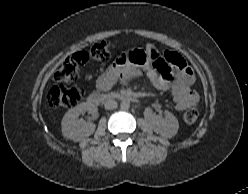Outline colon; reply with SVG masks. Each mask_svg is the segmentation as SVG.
I'll return each instance as SVG.
<instances>
[{"mask_svg": "<svg viewBox=\"0 0 248 194\" xmlns=\"http://www.w3.org/2000/svg\"><path fill=\"white\" fill-rule=\"evenodd\" d=\"M143 51L133 50L127 54H122L120 58L134 61ZM114 56V47L109 41L95 43L89 50H82L66 58L56 72V84L50 89L48 95V104L53 108H71L74 107L83 97L84 91L80 87L67 86L66 84L74 81L82 71V68L89 60L107 61ZM152 59L158 65L162 64L159 54L154 52ZM199 115V107L194 105L190 107L183 115L186 124L196 122Z\"/></svg>", "mask_w": 248, "mask_h": 194, "instance_id": "colon-1", "label": "colon"}]
</instances>
